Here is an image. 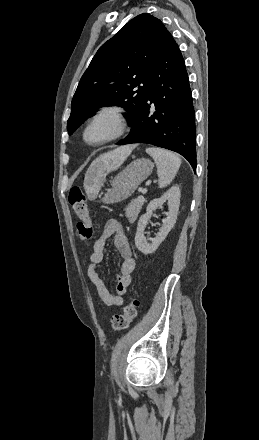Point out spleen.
Here are the masks:
<instances>
[{"label":"spleen","mask_w":259,"mask_h":440,"mask_svg":"<svg viewBox=\"0 0 259 440\" xmlns=\"http://www.w3.org/2000/svg\"><path fill=\"white\" fill-rule=\"evenodd\" d=\"M146 153H148L156 163L159 187L164 188L168 186L179 170L181 159L168 150L156 147L147 148Z\"/></svg>","instance_id":"1"}]
</instances>
